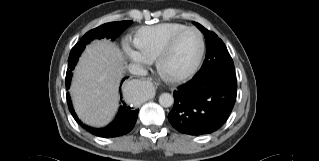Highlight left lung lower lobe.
Returning a JSON list of instances; mask_svg holds the SVG:
<instances>
[{
  "instance_id": "0a47b994",
  "label": "left lung lower lobe",
  "mask_w": 319,
  "mask_h": 161,
  "mask_svg": "<svg viewBox=\"0 0 319 161\" xmlns=\"http://www.w3.org/2000/svg\"><path fill=\"white\" fill-rule=\"evenodd\" d=\"M171 125L188 135L208 134L227 120L236 100L237 83L221 76L193 78L174 91Z\"/></svg>"
}]
</instances>
